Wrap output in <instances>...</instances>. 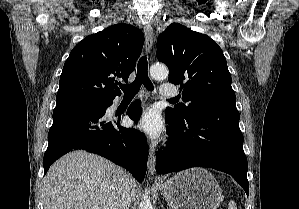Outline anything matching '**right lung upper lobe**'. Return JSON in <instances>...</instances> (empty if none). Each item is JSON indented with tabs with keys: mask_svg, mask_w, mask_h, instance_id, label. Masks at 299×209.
I'll use <instances>...</instances> for the list:
<instances>
[{
	"mask_svg": "<svg viewBox=\"0 0 299 209\" xmlns=\"http://www.w3.org/2000/svg\"><path fill=\"white\" fill-rule=\"evenodd\" d=\"M144 44L141 30L116 24L89 35L71 51L60 76L56 101L106 102L128 82Z\"/></svg>",
	"mask_w": 299,
	"mask_h": 209,
	"instance_id": "obj_1",
	"label": "right lung upper lobe"
}]
</instances>
